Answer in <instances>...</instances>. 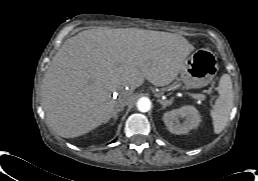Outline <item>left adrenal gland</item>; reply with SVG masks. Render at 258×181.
<instances>
[{
    "label": "left adrenal gland",
    "instance_id": "a2214340",
    "mask_svg": "<svg viewBox=\"0 0 258 181\" xmlns=\"http://www.w3.org/2000/svg\"><path fill=\"white\" fill-rule=\"evenodd\" d=\"M157 101L162 105L163 108H165L173 103V98H171L170 100H165V101L158 99Z\"/></svg>",
    "mask_w": 258,
    "mask_h": 181
}]
</instances>
